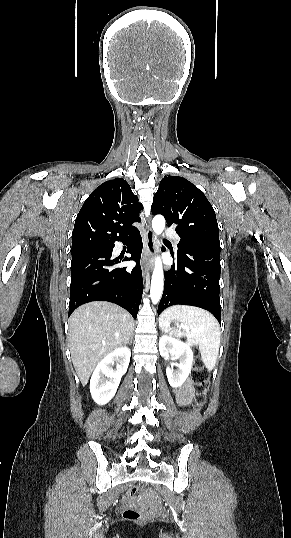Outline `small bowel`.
Instances as JSON below:
<instances>
[{
  "instance_id": "obj_1",
  "label": "small bowel",
  "mask_w": 291,
  "mask_h": 538,
  "mask_svg": "<svg viewBox=\"0 0 291 538\" xmlns=\"http://www.w3.org/2000/svg\"><path fill=\"white\" fill-rule=\"evenodd\" d=\"M179 396L184 400L188 401L191 398L192 395V387L191 384L186 382L182 387H180Z\"/></svg>"
}]
</instances>
